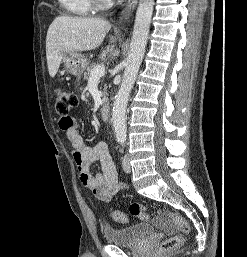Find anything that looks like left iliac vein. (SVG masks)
<instances>
[{
    "label": "left iliac vein",
    "instance_id": "4c4485c4",
    "mask_svg": "<svg viewBox=\"0 0 247 257\" xmlns=\"http://www.w3.org/2000/svg\"><path fill=\"white\" fill-rule=\"evenodd\" d=\"M122 168H123L124 172H126V173L131 172V165H130L129 157L127 154H125L122 159Z\"/></svg>",
    "mask_w": 247,
    "mask_h": 257
}]
</instances>
